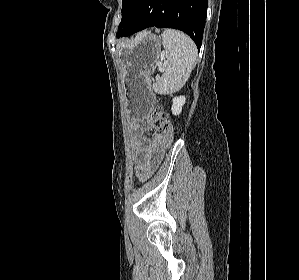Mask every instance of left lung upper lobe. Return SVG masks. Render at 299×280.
Segmentation results:
<instances>
[{
	"mask_svg": "<svg viewBox=\"0 0 299 280\" xmlns=\"http://www.w3.org/2000/svg\"><path fill=\"white\" fill-rule=\"evenodd\" d=\"M136 0H122L123 6H122V20L119 24V28L121 29L116 35L119 37L121 31L124 29V27L130 22L132 12L134 10V3Z\"/></svg>",
	"mask_w": 299,
	"mask_h": 280,
	"instance_id": "5c2ea615",
	"label": "left lung upper lobe"
}]
</instances>
